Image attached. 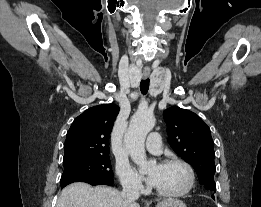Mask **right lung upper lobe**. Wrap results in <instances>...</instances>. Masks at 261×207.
<instances>
[{
  "mask_svg": "<svg viewBox=\"0 0 261 207\" xmlns=\"http://www.w3.org/2000/svg\"><path fill=\"white\" fill-rule=\"evenodd\" d=\"M118 113L117 105L102 104L76 117L67 132L63 161L109 155V136Z\"/></svg>",
  "mask_w": 261,
  "mask_h": 207,
  "instance_id": "cb5924a9",
  "label": "right lung upper lobe"
}]
</instances>
